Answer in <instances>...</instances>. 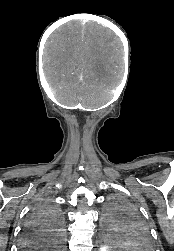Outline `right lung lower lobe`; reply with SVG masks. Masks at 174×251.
Instances as JSON below:
<instances>
[{
    "mask_svg": "<svg viewBox=\"0 0 174 251\" xmlns=\"http://www.w3.org/2000/svg\"><path fill=\"white\" fill-rule=\"evenodd\" d=\"M35 231L34 229L30 226V225H27L23 231V236H22V240H21V245L22 243H24L27 239L26 237H29L31 234H33ZM20 245V246H21ZM22 249V248H21ZM24 250V249H22ZM37 249H34V250H24V251H35Z\"/></svg>",
    "mask_w": 174,
    "mask_h": 251,
    "instance_id": "1",
    "label": "right lung lower lobe"
}]
</instances>
